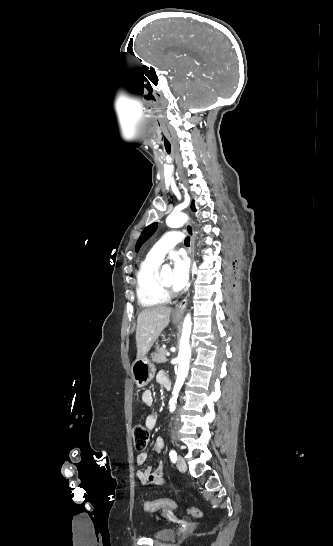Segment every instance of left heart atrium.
I'll list each match as a JSON object with an SVG mask.
<instances>
[{
    "label": "left heart atrium",
    "instance_id": "left-heart-atrium-1",
    "mask_svg": "<svg viewBox=\"0 0 333 546\" xmlns=\"http://www.w3.org/2000/svg\"><path fill=\"white\" fill-rule=\"evenodd\" d=\"M172 287L176 291L182 290L188 281L189 264L185 257L174 255L172 257Z\"/></svg>",
    "mask_w": 333,
    "mask_h": 546
}]
</instances>
